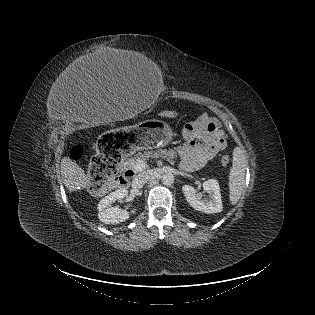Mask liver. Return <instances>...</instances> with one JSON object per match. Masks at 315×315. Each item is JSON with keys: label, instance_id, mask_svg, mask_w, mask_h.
Here are the masks:
<instances>
[{"label": "liver", "instance_id": "1", "mask_svg": "<svg viewBox=\"0 0 315 315\" xmlns=\"http://www.w3.org/2000/svg\"><path fill=\"white\" fill-rule=\"evenodd\" d=\"M131 53L127 51H108L84 57L73 70L80 75L109 74L113 71L121 70V60L129 59ZM128 111L122 113V118L126 119ZM125 114V115H124ZM116 117V116H115ZM117 118V117H116ZM121 118V117H120ZM61 173L63 184L71 193L81 188L90 187V178L85 171L69 157L61 160Z\"/></svg>", "mask_w": 315, "mask_h": 315}]
</instances>
